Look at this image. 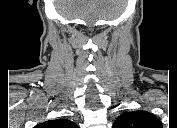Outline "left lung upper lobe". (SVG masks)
<instances>
[{"instance_id": "left-lung-upper-lobe-1", "label": "left lung upper lobe", "mask_w": 177, "mask_h": 128, "mask_svg": "<svg viewBox=\"0 0 177 128\" xmlns=\"http://www.w3.org/2000/svg\"><path fill=\"white\" fill-rule=\"evenodd\" d=\"M161 122L147 111H132L121 114L113 128H160Z\"/></svg>"}]
</instances>
